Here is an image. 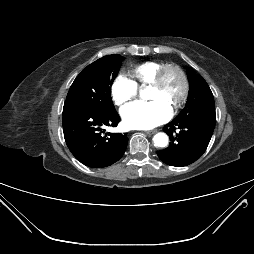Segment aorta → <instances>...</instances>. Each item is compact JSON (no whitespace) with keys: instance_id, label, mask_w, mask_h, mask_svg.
<instances>
[{"instance_id":"1","label":"aorta","mask_w":254,"mask_h":254,"mask_svg":"<svg viewBox=\"0 0 254 254\" xmlns=\"http://www.w3.org/2000/svg\"><path fill=\"white\" fill-rule=\"evenodd\" d=\"M153 142L156 147H166L168 145V136L165 133H157L153 137Z\"/></svg>"}]
</instances>
